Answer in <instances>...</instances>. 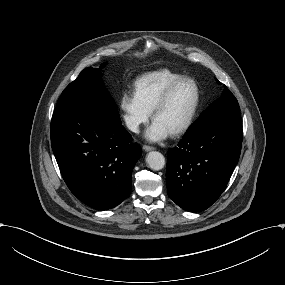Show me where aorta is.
Returning <instances> with one entry per match:
<instances>
[{
    "instance_id": "obj_1",
    "label": "aorta",
    "mask_w": 285,
    "mask_h": 285,
    "mask_svg": "<svg viewBox=\"0 0 285 285\" xmlns=\"http://www.w3.org/2000/svg\"><path fill=\"white\" fill-rule=\"evenodd\" d=\"M146 163L152 170H161L165 165L164 156L157 151H151L146 157Z\"/></svg>"
}]
</instances>
